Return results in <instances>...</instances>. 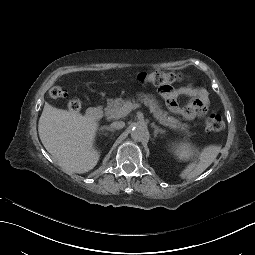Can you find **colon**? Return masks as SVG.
Segmentation results:
<instances>
[{
    "mask_svg": "<svg viewBox=\"0 0 255 255\" xmlns=\"http://www.w3.org/2000/svg\"><path fill=\"white\" fill-rule=\"evenodd\" d=\"M183 76L175 72L167 71H151L140 72L137 80L140 83H149L160 87L163 91H167L171 84L181 81ZM50 96L54 99H60L66 96V91L61 86H53L50 89ZM68 108L71 111H78L81 108V102L78 99H71L68 102ZM205 128L209 132H219L224 128V121L221 115L212 114L205 120Z\"/></svg>",
    "mask_w": 255,
    "mask_h": 255,
    "instance_id": "5ec220e1",
    "label": "colon"
}]
</instances>
